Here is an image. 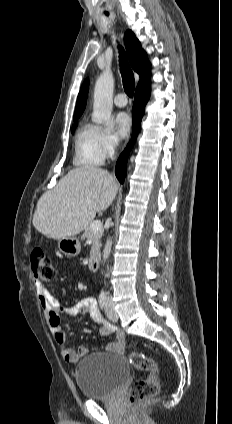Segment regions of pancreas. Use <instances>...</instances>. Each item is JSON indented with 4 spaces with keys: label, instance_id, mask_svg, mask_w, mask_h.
<instances>
[{
    "label": "pancreas",
    "instance_id": "pancreas-1",
    "mask_svg": "<svg viewBox=\"0 0 232 424\" xmlns=\"http://www.w3.org/2000/svg\"><path fill=\"white\" fill-rule=\"evenodd\" d=\"M91 224L92 222L89 224V226L85 229V232L82 235V239H91L92 241V248L90 251V260L94 259L96 253L99 251V248L101 246L100 243V239L103 235V229L98 230V231H93L91 229Z\"/></svg>",
    "mask_w": 232,
    "mask_h": 424
}]
</instances>
